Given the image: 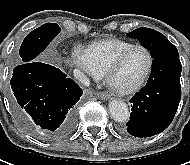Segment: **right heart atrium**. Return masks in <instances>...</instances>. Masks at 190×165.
<instances>
[{"label": "right heart atrium", "mask_w": 190, "mask_h": 165, "mask_svg": "<svg viewBox=\"0 0 190 165\" xmlns=\"http://www.w3.org/2000/svg\"><path fill=\"white\" fill-rule=\"evenodd\" d=\"M72 61L73 64L86 76L96 80L101 77L93 67L87 50L81 47L75 48L72 53Z\"/></svg>", "instance_id": "d8ad5b80"}]
</instances>
